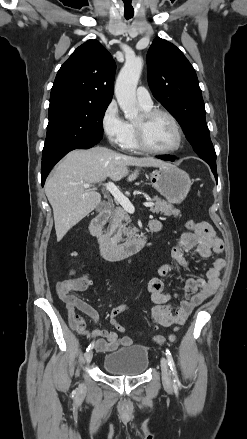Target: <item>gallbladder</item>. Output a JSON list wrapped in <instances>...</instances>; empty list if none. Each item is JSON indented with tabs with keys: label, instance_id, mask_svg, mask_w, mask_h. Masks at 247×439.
<instances>
[{
	"label": "gallbladder",
	"instance_id": "obj_1",
	"mask_svg": "<svg viewBox=\"0 0 247 439\" xmlns=\"http://www.w3.org/2000/svg\"><path fill=\"white\" fill-rule=\"evenodd\" d=\"M103 209V206L102 205H99L98 207H97V210L98 211H101Z\"/></svg>",
	"mask_w": 247,
	"mask_h": 439
}]
</instances>
